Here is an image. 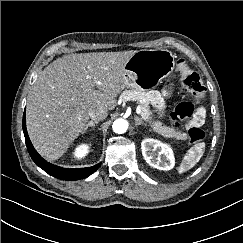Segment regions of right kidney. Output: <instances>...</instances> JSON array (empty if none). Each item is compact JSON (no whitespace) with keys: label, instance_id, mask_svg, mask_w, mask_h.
I'll return each mask as SVG.
<instances>
[{"label":"right kidney","instance_id":"right-kidney-1","mask_svg":"<svg viewBox=\"0 0 243 243\" xmlns=\"http://www.w3.org/2000/svg\"><path fill=\"white\" fill-rule=\"evenodd\" d=\"M89 152V145L88 144H81L74 150V157L81 159L85 157Z\"/></svg>","mask_w":243,"mask_h":243}]
</instances>
